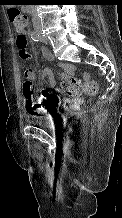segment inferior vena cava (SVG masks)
Masks as SVG:
<instances>
[{"instance_id":"inferior-vena-cava-1","label":"inferior vena cava","mask_w":122,"mask_h":218,"mask_svg":"<svg viewBox=\"0 0 122 218\" xmlns=\"http://www.w3.org/2000/svg\"><path fill=\"white\" fill-rule=\"evenodd\" d=\"M32 23H33L34 28H38L39 29V27H40V20H39V18H38V16L36 14H34L32 16Z\"/></svg>"}]
</instances>
